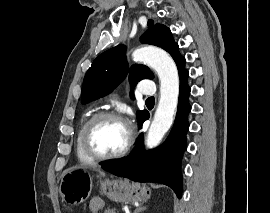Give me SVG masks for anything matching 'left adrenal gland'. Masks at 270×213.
<instances>
[{
  "label": "left adrenal gland",
  "mask_w": 270,
  "mask_h": 213,
  "mask_svg": "<svg viewBox=\"0 0 270 213\" xmlns=\"http://www.w3.org/2000/svg\"><path fill=\"white\" fill-rule=\"evenodd\" d=\"M144 210H146V207L141 204L138 208L134 210L133 213H140L143 212Z\"/></svg>",
  "instance_id": "obj_1"
}]
</instances>
